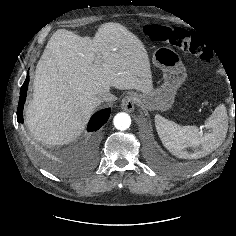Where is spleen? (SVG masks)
<instances>
[{
    "label": "spleen",
    "mask_w": 236,
    "mask_h": 236,
    "mask_svg": "<svg viewBox=\"0 0 236 236\" xmlns=\"http://www.w3.org/2000/svg\"><path fill=\"white\" fill-rule=\"evenodd\" d=\"M155 126L160 140L167 150L178 157L201 158L219 148L225 140L228 120L224 105H219L206 120L210 132L202 135L196 126H180L161 115L155 116ZM199 148L192 154L186 148Z\"/></svg>",
    "instance_id": "1"
}]
</instances>
